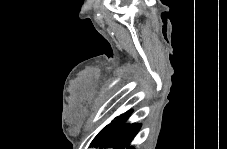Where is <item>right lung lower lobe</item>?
<instances>
[{"label": "right lung lower lobe", "mask_w": 227, "mask_h": 149, "mask_svg": "<svg viewBox=\"0 0 227 149\" xmlns=\"http://www.w3.org/2000/svg\"><path fill=\"white\" fill-rule=\"evenodd\" d=\"M132 110L103 128L91 142L92 147L130 149V143L138 133L140 124L126 123ZM133 149V147H131Z\"/></svg>", "instance_id": "98d812e1"}]
</instances>
